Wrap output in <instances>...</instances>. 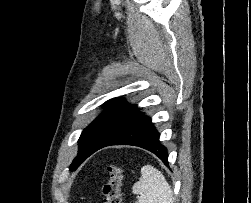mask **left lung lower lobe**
Segmentation results:
<instances>
[{"label":"left lung lower lobe","mask_w":251,"mask_h":203,"mask_svg":"<svg viewBox=\"0 0 251 203\" xmlns=\"http://www.w3.org/2000/svg\"><path fill=\"white\" fill-rule=\"evenodd\" d=\"M109 145H132L144 148L154 153L166 166H168L167 149L160 144L159 132L153 126L151 118L145 114H142L133 123L128 125L104 145L98 147L91 154Z\"/></svg>","instance_id":"1"}]
</instances>
